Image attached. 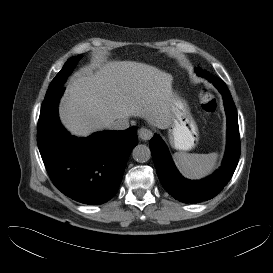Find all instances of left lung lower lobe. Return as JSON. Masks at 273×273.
I'll return each mask as SVG.
<instances>
[{"label": "left lung lower lobe", "mask_w": 273, "mask_h": 273, "mask_svg": "<svg viewBox=\"0 0 273 273\" xmlns=\"http://www.w3.org/2000/svg\"><path fill=\"white\" fill-rule=\"evenodd\" d=\"M199 76L208 79L217 87L224 100L227 115V146L221 167L211 176L197 181L185 179L176 169L164 141L154 135L150 149L158 178L164 189L175 199L184 203H198L219 194L231 179L240 157L238 117L231 94L223 80L197 68Z\"/></svg>", "instance_id": "0a47b994"}]
</instances>
